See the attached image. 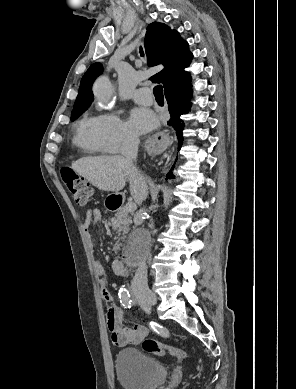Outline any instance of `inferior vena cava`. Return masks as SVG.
I'll list each match as a JSON object with an SVG mask.
<instances>
[{
	"instance_id": "602c4592",
	"label": "inferior vena cava",
	"mask_w": 296,
	"mask_h": 389,
	"mask_svg": "<svg viewBox=\"0 0 296 389\" xmlns=\"http://www.w3.org/2000/svg\"><path fill=\"white\" fill-rule=\"evenodd\" d=\"M139 138L134 133H128L124 139L122 146V155L131 164V172L134 175H139L137 168L133 164L138 153ZM144 209H140L137 214V224L141 225L143 219L141 217ZM132 290L139 303H143L146 300L153 299L154 296L148 287L147 282V267L145 263H142L132 281Z\"/></svg>"
}]
</instances>
